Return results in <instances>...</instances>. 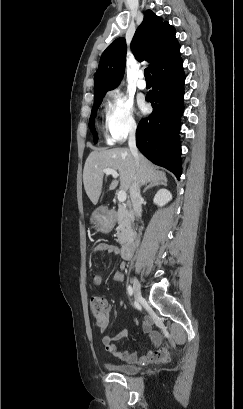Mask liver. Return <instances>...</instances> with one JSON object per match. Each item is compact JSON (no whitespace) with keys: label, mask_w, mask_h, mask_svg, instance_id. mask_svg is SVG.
I'll return each instance as SVG.
<instances>
[{"label":"liver","mask_w":243,"mask_h":409,"mask_svg":"<svg viewBox=\"0 0 243 409\" xmlns=\"http://www.w3.org/2000/svg\"><path fill=\"white\" fill-rule=\"evenodd\" d=\"M111 168L119 173L120 189L128 191L135 182L144 185L147 183L167 180L166 174L159 171L143 155H139V166L135 164L134 157L129 149H97L92 151L86 159L83 170V183L87 196L93 204H97L103 185V170ZM117 186V181H112L109 190Z\"/></svg>","instance_id":"1"}]
</instances>
